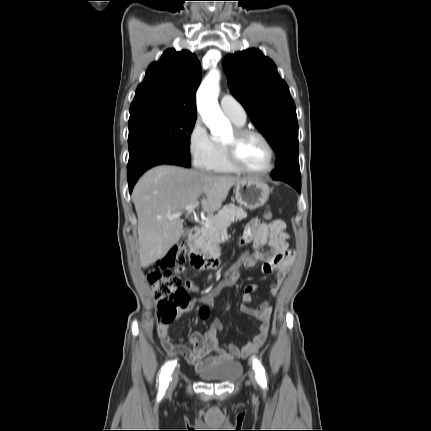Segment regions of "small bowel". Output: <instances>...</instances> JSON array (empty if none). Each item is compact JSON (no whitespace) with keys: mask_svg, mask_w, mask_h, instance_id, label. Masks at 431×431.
Here are the masks:
<instances>
[{"mask_svg":"<svg viewBox=\"0 0 431 431\" xmlns=\"http://www.w3.org/2000/svg\"><path fill=\"white\" fill-rule=\"evenodd\" d=\"M288 239L285 223L282 220L276 219L266 222L261 219H252L244 228L240 240L241 246L251 245L249 255H246V258L242 260L244 263L242 270L261 263L263 274L276 276L275 281L268 286V293L272 296L278 293L280 285L293 263V251L289 247ZM265 246H268L267 251H263ZM241 272H233V276L239 279ZM224 276L227 275L224 274ZM185 285L193 292L200 290V287L190 279L185 281ZM257 289L256 284H248L243 288L242 293L240 311L259 322L258 332L246 345L239 347L221 342L218 338V332L223 329V326L214 319L204 335L193 333L188 337L189 346L182 344V340L180 343H176L170 336V325L160 324L157 333L164 350L170 355H182L198 371L231 362L234 358H246L255 354L267 338L272 312V308L267 302L262 303L257 308L248 306ZM203 296H206V293L201 297ZM197 299L191 302L194 303ZM212 305L213 303H210V307ZM204 306L210 309L208 305H201L200 309ZM212 352H215L216 355H212Z\"/></svg>","mask_w":431,"mask_h":431,"instance_id":"1","label":"small bowel"}]
</instances>
